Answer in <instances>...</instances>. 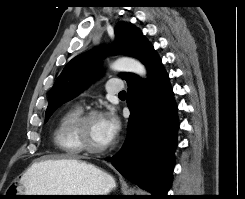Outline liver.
<instances>
[{
	"label": "liver",
	"instance_id": "1",
	"mask_svg": "<svg viewBox=\"0 0 245 199\" xmlns=\"http://www.w3.org/2000/svg\"><path fill=\"white\" fill-rule=\"evenodd\" d=\"M81 157L79 156H54L51 159H43L39 162H35L32 166L27 170V172L23 175L22 178L28 179L32 178L34 180L45 177L46 173L50 171H55L68 163H74L80 161Z\"/></svg>",
	"mask_w": 245,
	"mask_h": 199
}]
</instances>
